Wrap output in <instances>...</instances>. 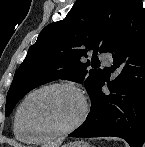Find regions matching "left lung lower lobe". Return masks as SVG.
Here are the masks:
<instances>
[{
  "mask_svg": "<svg viewBox=\"0 0 145 147\" xmlns=\"http://www.w3.org/2000/svg\"><path fill=\"white\" fill-rule=\"evenodd\" d=\"M113 57L108 82L104 72L91 97L86 121L70 137L114 136L125 139L131 147H140L145 139V9L141 0H131L121 29L111 44ZM108 82L109 92L102 86Z\"/></svg>",
  "mask_w": 145,
  "mask_h": 147,
  "instance_id": "1",
  "label": "left lung lower lobe"
}]
</instances>
